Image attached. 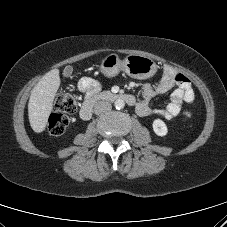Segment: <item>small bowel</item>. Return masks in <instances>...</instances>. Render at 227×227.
<instances>
[{
	"instance_id": "obj_1",
	"label": "small bowel",
	"mask_w": 227,
	"mask_h": 227,
	"mask_svg": "<svg viewBox=\"0 0 227 227\" xmlns=\"http://www.w3.org/2000/svg\"><path fill=\"white\" fill-rule=\"evenodd\" d=\"M172 91L169 103L162 108L151 109L150 101L157 95ZM99 88V83L92 78H83L78 83V89L81 92L91 95ZM143 99L136 105V112L139 116L145 117L151 114H157L167 120H171L178 115L190 117V112L183 110L185 104H192L195 95L191 87L190 80L183 74L176 73L171 67L166 66L163 71L160 82L155 86L145 84L142 87Z\"/></svg>"
}]
</instances>
